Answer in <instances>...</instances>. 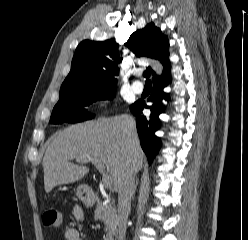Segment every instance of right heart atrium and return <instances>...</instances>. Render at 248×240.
Returning <instances> with one entry per match:
<instances>
[{
    "instance_id": "1",
    "label": "right heart atrium",
    "mask_w": 248,
    "mask_h": 240,
    "mask_svg": "<svg viewBox=\"0 0 248 240\" xmlns=\"http://www.w3.org/2000/svg\"><path fill=\"white\" fill-rule=\"evenodd\" d=\"M107 103V100L105 98H99L97 100V104L100 106H104Z\"/></svg>"
}]
</instances>
